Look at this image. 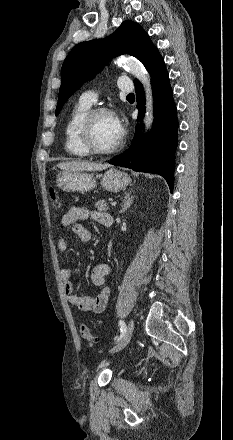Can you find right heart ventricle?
<instances>
[{
  "instance_id": "e07e8e85",
  "label": "right heart ventricle",
  "mask_w": 233,
  "mask_h": 440,
  "mask_svg": "<svg viewBox=\"0 0 233 440\" xmlns=\"http://www.w3.org/2000/svg\"><path fill=\"white\" fill-rule=\"evenodd\" d=\"M91 105L79 101L72 108L69 118L65 125V150L74 157L85 158L90 154L81 145L78 137V130L81 121L85 115L90 111Z\"/></svg>"
}]
</instances>
